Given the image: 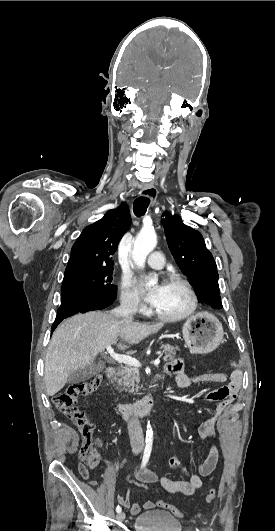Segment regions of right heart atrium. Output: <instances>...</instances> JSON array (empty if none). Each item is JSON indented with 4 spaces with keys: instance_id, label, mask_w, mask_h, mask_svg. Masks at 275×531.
<instances>
[{
    "instance_id": "obj_1",
    "label": "right heart atrium",
    "mask_w": 275,
    "mask_h": 531,
    "mask_svg": "<svg viewBox=\"0 0 275 531\" xmlns=\"http://www.w3.org/2000/svg\"><path fill=\"white\" fill-rule=\"evenodd\" d=\"M121 303L129 314L136 315L145 311L143 299L133 288L132 281L129 277H123L122 279Z\"/></svg>"
}]
</instances>
